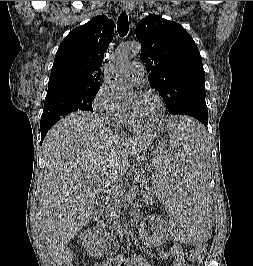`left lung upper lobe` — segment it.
Listing matches in <instances>:
<instances>
[{
    "mask_svg": "<svg viewBox=\"0 0 253 266\" xmlns=\"http://www.w3.org/2000/svg\"><path fill=\"white\" fill-rule=\"evenodd\" d=\"M136 38L149 83L163 97L169 114L192 116L207 125L205 72L193 38L180 24L154 14L137 24Z\"/></svg>",
    "mask_w": 253,
    "mask_h": 266,
    "instance_id": "left-lung-upper-lobe-1",
    "label": "left lung upper lobe"
}]
</instances>
